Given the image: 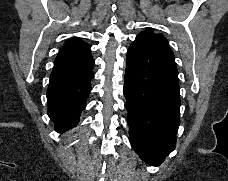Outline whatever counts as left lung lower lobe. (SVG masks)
Returning a JSON list of instances; mask_svg holds the SVG:
<instances>
[{
  "label": "left lung lower lobe",
  "instance_id": "obj_1",
  "mask_svg": "<svg viewBox=\"0 0 228 181\" xmlns=\"http://www.w3.org/2000/svg\"><path fill=\"white\" fill-rule=\"evenodd\" d=\"M180 87L172 50L136 37L127 52L124 95L130 141L148 164L158 165L176 146Z\"/></svg>",
  "mask_w": 228,
  "mask_h": 181
}]
</instances>
